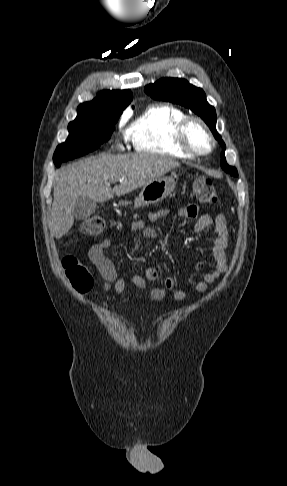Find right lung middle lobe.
<instances>
[{"label":"right lung middle lobe","instance_id":"1","mask_svg":"<svg viewBox=\"0 0 287 486\" xmlns=\"http://www.w3.org/2000/svg\"><path fill=\"white\" fill-rule=\"evenodd\" d=\"M120 115L100 109L77 110L76 119L68 125L67 140L55 150L54 164L59 167L62 162L83 156L108 141Z\"/></svg>","mask_w":287,"mask_h":486}]
</instances>
